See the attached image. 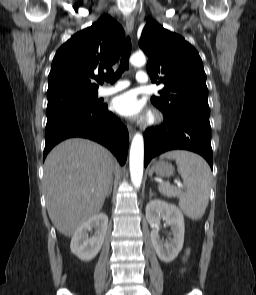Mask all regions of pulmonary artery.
Masks as SVG:
<instances>
[{
  "label": "pulmonary artery",
  "mask_w": 256,
  "mask_h": 295,
  "mask_svg": "<svg viewBox=\"0 0 256 295\" xmlns=\"http://www.w3.org/2000/svg\"><path fill=\"white\" fill-rule=\"evenodd\" d=\"M136 80L140 84H146L148 83V75L144 71H138L136 74ZM130 85V82L127 80H122L117 82L115 85L110 87H102L99 89V94L101 96H108L114 93H117L125 88H127Z\"/></svg>",
  "instance_id": "pulmonary-artery-1"
}]
</instances>
